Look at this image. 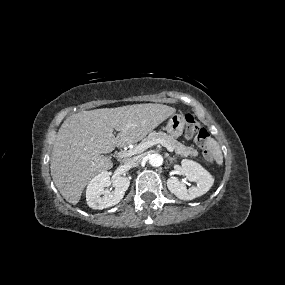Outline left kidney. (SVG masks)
<instances>
[{
  "label": "left kidney",
  "instance_id": "1",
  "mask_svg": "<svg viewBox=\"0 0 285 285\" xmlns=\"http://www.w3.org/2000/svg\"><path fill=\"white\" fill-rule=\"evenodd\" d=\"M182 173L188 181L196 182V186L187 189L186 185L178 179L169 178L167 187L169 191L181 200H192L205 194L214 183L213 177L200 164L191 160H182Z\"/></svg>",
  "mask_w": 285,
  "mask_h": 285
}]
</instances>
